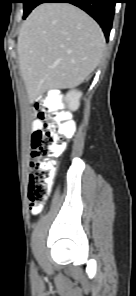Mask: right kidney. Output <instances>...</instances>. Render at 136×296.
Here are the masks:
<instances>
[{
  "label": "right kidney",
  "mask_w": 136,
  "mask_h": 296,
  "mask_svg": "<svg viewBox=\"0 0 136 296\" xmlns=\"http://www.w3.org/2000/svg\"><path fill=\"white\" fill-rule=\"evenodd\" d=\"M81 96L82 93L78 90H71L66 94L65 101L67 102L70 110L75 111L78 109Z\"/></svg>",
  "instance_id": "right-kidney-1"
}]
</instances>
